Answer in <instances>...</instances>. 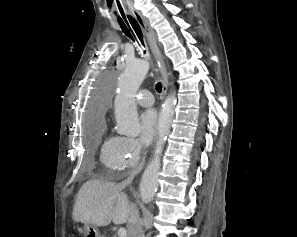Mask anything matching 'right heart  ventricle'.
Here are the masks:
<instances>
[{
  "label": "right heart ventricle",
  "instance_id": "obj_1",
  "mask_svg": "<svg viewBox=\"0 0 297 237\" xmlns=\"http://www.w3.org/2000/svg\"><path fill=\"white\" fill-rule=\"evenodd\" d=\"M121 138L109 136L101 146V161L111 172L122 169L120 161Z\"/></svg>",
  "mask_w": 297,
  "mask_h": 237
}]
</instances>
